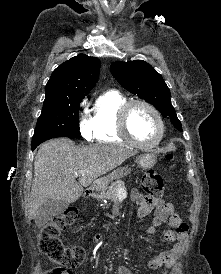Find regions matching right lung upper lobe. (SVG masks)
<instances>
[{"mask_svg": "<svg viewBox=\"0 0 221 274\" xmlns=\"http://www.w3.org/2000/svg\"><path fill=\"white\" fill-rule=\"evenodd\" d=\"M100 70L96 57L79 54L56 68L46 85L45 100L85 97L95 86Z\"/></svg>", "mask_w": 221, "mask_h": 274, "instance_id": "right-lung-upper-lobe-1", "label": "right lung upper lobe"}]
</instances>
